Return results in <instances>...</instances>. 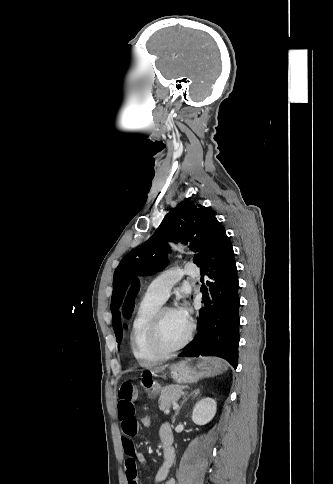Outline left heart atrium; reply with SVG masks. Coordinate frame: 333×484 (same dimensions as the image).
<instances>
[{"label": "left heart atrium", "mask_w": 333, "mask_h": 484, "mask_svg": "<svg viewBox=\"0 0 333 484\" xmlns=\"http://www.w3.org/2000/svg\"><path fill=\"white\" fill-rule=\"evenodd\" d=\"M175 311L181 317V319L189 323L190 321L189 309L185 304H182L181 306H179Z\"/></svg>", "instance_id": "obj_1"}]
</instances>
